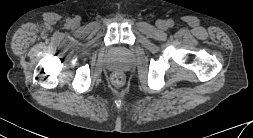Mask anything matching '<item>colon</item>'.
Returning a JSON list of instances; mask_svg holds the SVG:
<instances>
[{"label": "colon", "mask_w": 253, "mask_h": 138, "mask_svg": "<svg viewBox=\"0 0 253 138\" xmlns=\"http://www.w3.org/2000/svg\"><path fill=\"white\" fill-rule=\"evenodd\" d=\"M111 81L115 86H122L124 84V76L119 72H115L111 77Z\"/></svg>", "instance_id": "obj_1"}]
</instances>
